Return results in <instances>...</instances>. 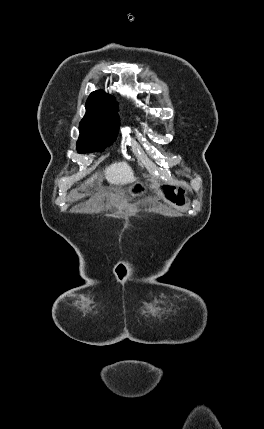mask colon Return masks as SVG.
Returning <instances> with one entry per match:
<instances>
[{
  "mask_svg": "<svg viewBox=\"0 0 264 429\" xmlns=\"http://www.w3.org/2000/svg\"><path fill=\"white\" fill-rule=\"evenodd\" d=\"M139 190V187L135 188V192ZM165 197L173 203L178 205L184 202L183 192L179 191L178 193L174 191V189L170 186L164 187Z\"/></svg>",
  "mask_w": 264,
  "mask_h": 429,
  "instance_id": "5ec220e1",
  "label": "colon"
}]
</instances>
